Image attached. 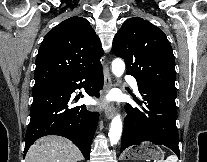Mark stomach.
<instances>
[{
	"label": "stomach",
	"instance_id": "obj_1",
	"mask_svg": "<svg viewBox=\"0 0 207 162\" xmlns=\"http://www.w3.org/2000/svg\"><path fill=\"white\" fill-rule=\"evenodd\" d=\"M162 157V150L151 143H143L135 148H131L123 155L125 160H159Z\"/></svg>",
	"mask_w": 207,
	"mask_h": 162
}]
</instances>
